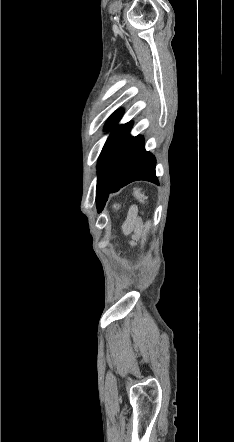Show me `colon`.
Masks as SVG:
<instances>
[{
  "instance_id": "colon-1",
  "label": "colon",
  "mask_w": 234,
  "mask_h": 442,
  "mask_svg": "<svg viewBox=\"0 0 234 442\" xmlns=\"http://www.w3.org/2000/svg\"><path fill=\"white\" fill-rule=\"evenodd\" d=\"M134 195L141 203H143V204L147 203L146 196L143 194V192L139 188L134 189ZM142 262H145V259H142Z\"/></svg>"
}]
</instances>
